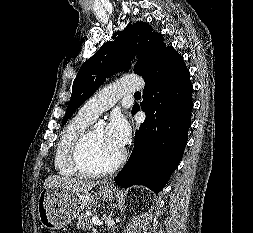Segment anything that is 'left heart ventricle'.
Listing matches in <instances>:
<instances>
[{"mask_svg": "<svg viewBox=\"0 0 253 233\" xmlns=\"http://www.w3.org/2000/svg\"><path fill=\"white\" fill-rule=\"evenodd\" d=\"M120 152L107 140L104 127H94L85 161L92 168H101L112 163Z\"/></svg>", "mask_w": 253, "mask_h": 233, "instance_id": "obj_1", "label": "left heart ventricle"}]
</instances>
